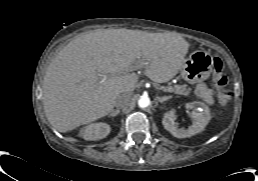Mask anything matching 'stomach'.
I'll return each mask as SVG.
<instances>
[{
    "instance_id": "stomach-1",
    "label": "stomach",
    "mask_w": 258,
    "mask_h": 181,
    "mask_svg": "<svg viewBox=\"0 0 258 181\" xmlns=\"http://www.w3.org/2000/svg\"><path fill=\"white\" fill-rule=\"evenodd\" d=\"M213 57L206 51L192 52L183 62L180 69L182 79L189 83L206 80L212 71Z\"/></svg>"
}]
</instances>
